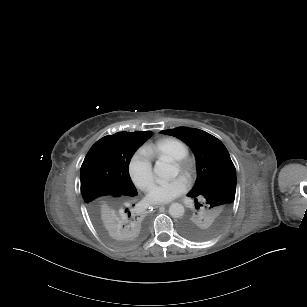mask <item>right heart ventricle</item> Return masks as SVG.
<instances>
[{"label":"right heart ventricle","instance_id":"e07e8e85","mask_svg":"<svg viewBox=\"0 0 307 307\" xmlns=\"http://www.w3.org/2000/svg\"><path fill=\"white\" fill-rule=\"evenodd\" d=\"M190 150L191 145L188 141L178 137H167L157 154L177 159L189 154Z\"/></svg>","mask_w":307,"mask_h":307}]
</instances>
